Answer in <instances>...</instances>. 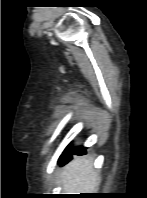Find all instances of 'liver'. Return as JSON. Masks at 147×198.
Instances as JSON below:
<instances>
[{
	"instance_id": "6515ba94",
	"label": "liver",
	"mask_w": 147,
	"mask_h": 198,
	"mask_svg": "<svg viewBox=\"0 0 147 198\" xmlns=\"http://www.w3.org/2000/svg\"><path fill=\"white\" fill-rule=\"evenodd\" d=\"M65 194L94 193L100 184V177L93 170V160L87 157L75 158L69 162L59 176Z\"/></svg>"
}]
</instances>
